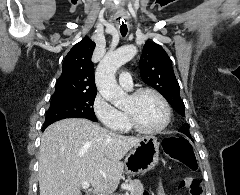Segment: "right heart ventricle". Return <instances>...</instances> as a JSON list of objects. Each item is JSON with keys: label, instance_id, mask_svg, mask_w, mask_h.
I'll return each instance as SVG.
<instances>
[{"label": "right heart ventricle", "instance_id": "right-heart-ventricle-1", "mask_svg": "<svg viewBox=\"0 0 240 195\" xmlns=\"http://www.w3.org/2000/svg\"><path fill=\"white\" fill-rule=\"evenodd\" d=\"M119 113H120V118H121L120 124H119L118 128L112 129V130L120 131V132H127L130 129V126L127 123L126 116H125L124 112H119Z\"/></svg>", "mask_w": 240, "mask_h": 195}]
</instances>
